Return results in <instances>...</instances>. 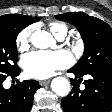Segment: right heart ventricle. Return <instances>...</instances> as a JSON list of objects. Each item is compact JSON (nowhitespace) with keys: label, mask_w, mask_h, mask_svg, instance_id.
I'll list each match as a JSON object with an SVG mask.
<instances>
[{"label":"right heart ventricle","mask_w":112,"mask_h":112,"mask_svg":"<svg viewBox=\"0 0 112 112\" xmlns=\"http://www.w3.org/2000/svg\"><path fill=\"white\" fill-rule=\"evenodd\" d=\"M51 33L58 39L64 38L68 33V26L65 23L52 21L48 24Z\"/></svg>","instance_id":"e07e8e85"}]
</instances>
